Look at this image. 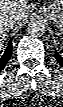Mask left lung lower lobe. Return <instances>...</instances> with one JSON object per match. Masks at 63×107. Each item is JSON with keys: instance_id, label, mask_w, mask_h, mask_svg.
I'll return each instance as SVG.
<instances>
[{"instance_id": "obj_1", "label": "left lung lower lobe", "mask_w": 63, "mask_h": 107, "mask_svg": "<svg viewBox=\"0 0 63 107\" xmlns=\"http://www.w3.org/2000/svg\"><path fill=\"white\" fill-rule=\"evenodd\" d=\"M55 57L57 61L59 62V64L63 67V57L60 56L57 51H55Z\"/></svg>"}]
</instances>
